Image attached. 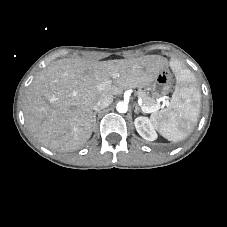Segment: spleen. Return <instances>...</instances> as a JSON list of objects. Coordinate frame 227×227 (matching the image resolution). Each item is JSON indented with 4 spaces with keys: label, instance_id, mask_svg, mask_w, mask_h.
<instances>
[{
    "label": "spleen",
    "instance_id": "spleen-1",
    "mask_svg": "<svg viewBox=\"0 0 227 227\" xmlns=\"http://www.w3.org/2000/svg\"><path fill=\"white\" fill-rule=\"evenodd\" d=\"M176 74L177 86L171 105L166 111L151 116V122L169 141L185 139L193 130L200 112V91L194 84L195 77L177 60L170 62Z\"/></svg>",
    "mask_w": 227,
    "mask_h": 227
}]
</instances>
